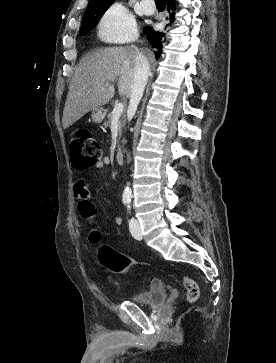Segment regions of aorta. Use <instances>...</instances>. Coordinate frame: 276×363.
I'll use <instances>...</instances> for the list:
<instances>
[{
  "label": "aorta",
  "mask_w": 276,
  "mask_h": 363,
  "mask_svg": "<svg viewBox=\"0 0 276 363\" xmlns=\"http://www.w3.org/2000/svg\"><path fill=\"white\" fill-rule=\"evenodd\" d=\"M130 198H131V189L127 186L123 192V200H130Z\"/></svg>",
  "instance_id": "1"
}]
</instances>
